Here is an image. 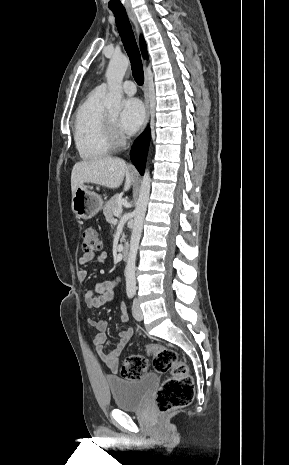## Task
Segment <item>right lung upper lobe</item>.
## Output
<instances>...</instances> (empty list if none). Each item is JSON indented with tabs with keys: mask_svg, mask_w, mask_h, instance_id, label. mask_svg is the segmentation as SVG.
Segmentation results:
<instances>
[{
	"mask_svg": "<svg viewBox=\"0 0 289 465\" xmlns=\"http://www.w3.org/2000/svg\"><path fill=\"white\" fill-rule=\"evenodd\" d=\"M140 47H141L143 57L147 58L146 44H145V41H144V39L142 37L140 38Z\"/></svg>",
	"mask_w": 289,
	"mask_h": 465,
	"instance_id": "right-lung-upper-lobe-1",
	"label": "right lung upper lobe"
}]
</instances>
